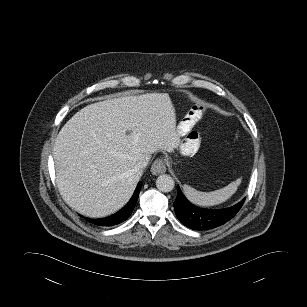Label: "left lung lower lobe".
I'll return each instance as SVG.
<instances>
[{"mask_svg":"<svg viewBox=\"0 0 307 307\" xmlns=\"http://www.w3.org/2000/svg\"><path fill=\"white\" fill-rule=\"evenodd\" d=\"M244 201L245 199L224 209H203L190 203L177 187V198L173 205L176 216L182 224L190 229L203 231L228 222L241 209Z\"/></svg>","mask_w":307,"mask_h":307,"instance_id":"0a47b994","label":"left lung lower lobe"}]
</instances>
